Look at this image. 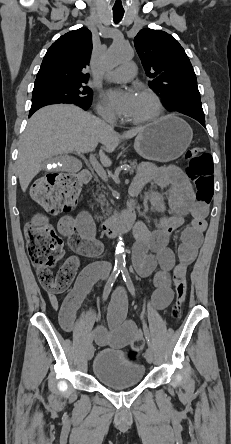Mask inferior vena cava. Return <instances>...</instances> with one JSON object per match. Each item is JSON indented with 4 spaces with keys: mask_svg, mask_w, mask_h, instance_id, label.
I'll return each instance as SVG.
<instances>
[{
    "mask_svg": "<svg viewBox=\"0 0 231 444\" xmlns=\"http://www.w3.org/2000/svg\"><path fill=\"white\" fill-rule=\"evenodd\" d=\"M105 120L109 123L108 126L113 129V121L107 118H105Z\"/></svg>",
    "mask_w": 231,
    "mask_h": 444,
    "instance_id": "obj_1",
    "label": "inferior vena cava"
}]
</instances>
